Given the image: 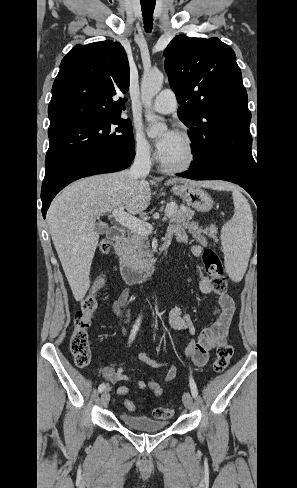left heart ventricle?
I'll use <instances>...</instances> for the list:
<instances>
[{"label": "left heart ventricle", "instance_id": "left-heart-ventricle-1", "mask_svg": "<svg viewBox=\"0 0 297 488\" xmlns=\"http://www.w3.org/2000/svg\"><path fill=\"white\" fill-rule=\"evenodd\" d=\"M188 156L189 152L185 141L177 135L165 152L160 155V158L169 165H181L188 159Z\"/></svg>", "mask_w": 297, "mask_h": 488}]
</instances>
